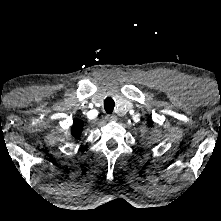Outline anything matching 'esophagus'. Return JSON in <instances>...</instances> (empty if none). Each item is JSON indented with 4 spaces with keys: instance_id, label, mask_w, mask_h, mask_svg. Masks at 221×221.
<instances>
[{
    "instance_id": "34e87169",
    "label": "esophagus",
    "mask_w": 221,
    "mask_h": 221,
    "mask_svg": "<svg viewBox=\"0 0 221 221\" xmlns=\"http://www.w3.org/2000/svg\"><path fill=\"white\" fill-rule=\"evenodd\" d=\"M107 119L111 122H116L118 118L115 114H110V115H107Z\"/></svg>"
}]
</instances>
